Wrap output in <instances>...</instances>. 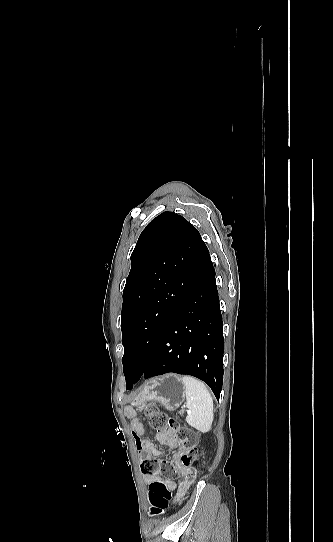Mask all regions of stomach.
<instances>
[{
  "label": "stomach",
  "instance_id": "1",
  "mask_svg": "<svg viewBox=\"0 0 333 542\" xmlns=\"http://www.w3.org/2000/svg\"><path fill=\"white\" fill-rule=\"evenodd\" d=\"M185 400V390L181 378L176 374H166V376L148 380L135 404L140 406L144 402H159L166 410L174 412L182 406Z\"/></svg>",
  "mask_w": 333,
  "mask_h": 542
}]
</instances>
